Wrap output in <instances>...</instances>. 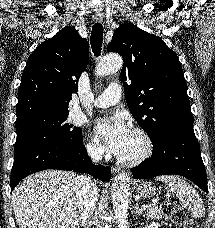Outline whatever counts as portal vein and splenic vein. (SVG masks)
Returning a JSON list of instances; mask_svg holds the SVG:
<instances>
[{"instance_id": "portal-vein-and-splenic-vein-1", "label": "portal vein and splenic vein", "mask_w": 215, "mask_h": 228, "mask_svg": "<svg viewBox=\"0 0 215 228\" xmlns=\"http://www.w3.org/2000/svg\"><path fill=\"white\" fill-rule=\"evenodd\" d=\"M147 208H150V206H142L141 210H147Z\"/></svg>"}]
</instances>
